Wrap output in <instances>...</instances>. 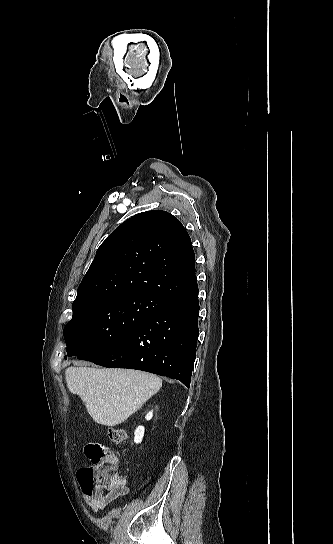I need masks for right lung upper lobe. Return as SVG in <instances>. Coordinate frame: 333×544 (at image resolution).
Segmentation results:
<instances>
[{"label":"right lung upper lobe","mask_w":333,"mask_h":544,"mask_svg":"<svg viewBox=\"0 0 333 544\" xmlns=\"http://www.w3.org/2000/svg\"><path fill=\"white\" fill-rule=\"evenodd\" d=\"M197 286L195 254L181 222L168 212L134 215L100 245L75 302L128 293L165 300Z\"/></svg>","instance_id":"obj_1"}]
</instances>
